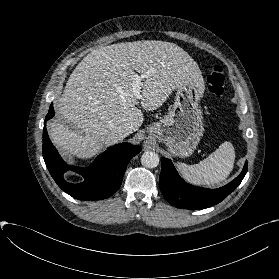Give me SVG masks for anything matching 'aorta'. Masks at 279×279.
<instances>
[{
	"label": "aorta",
	"mask_w": 279,
	"mask_h": 279,
	"mask_svg": "<svg viewBox=\"0 0 279 279\" xmlns=\"http://www.w3.org/2000/svg\"><path fill=\"white\" fill-rule=\"evenodd\" d=\"M160 158L153 151H146L141 156V163L146 168H155L158 166Z\"/></svg>",
	"instance_id": "762f6f07"
}]
</instances>
